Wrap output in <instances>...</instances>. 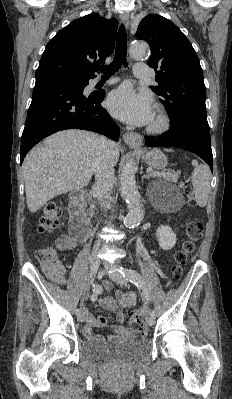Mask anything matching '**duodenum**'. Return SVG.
Wrapping results in <instances>:
<instances>
[{"label":"duodenum","mask_w":232,"mask_h":399,"mask_svg":"<svg viewBox=\"0 0 232 399\" xmlns=\"http://www.w3.org/2000/svg\"><path fill=\"white\" fill-rule=\"evenodd\" d=\"M69 234L77 241H85L91 233V223L84 213V193L75 191L69 203Z\"/></svg>","instance_id":"obj_1"}]
</instances>
